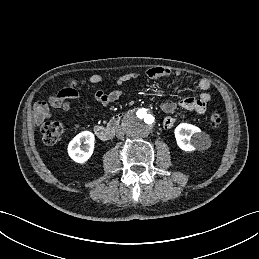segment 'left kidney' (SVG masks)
<instances>
[{
	"label": "left kidney",
	"mask_w": 259,
	"mask_h": 259,
	"mask_svg": "<svg viewBox=\"0 0 259 259\" xmlns=\"http://www.w3.org/2000/svg\"><path fill=\"white\" fill-rule=\"evenodd\" d=\"M174 133L179 148L188 152L200 148L201 139L206 137L197 126L188 123L179 124Z\"/></svg>",
	"instance_id": "obj_1"
}]
</instances>
